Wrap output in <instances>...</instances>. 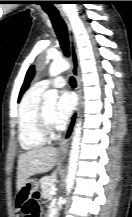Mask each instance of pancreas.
<instances>
[{
	"mask_svg": "<svg viewBox=\"0 0 132 217\" xmlns=\"http://www.w3.org/2000/svg\"><path fill=\"white\" fill-rule=\"evenodd\" d=\"M56 178L52 176L43 177L40 180L42 189V197L47 199L50 198V191L55 187Z\"/></svg>",
	"mask_w": 132,
	"mask_h": 217,
	"instance_id": "pancreas-1",
	"label": "pancreas"
}]
</instances>
